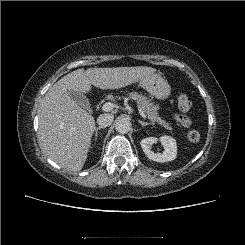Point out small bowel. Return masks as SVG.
<instances>
[{
	"instance_id": "small-bowel-1",
	"label": "small bowel",
	"mask_w": 245,
	"mask_h": 245,
	"mask_svg": "<svg viewBox=\"0 0 245 245\" xmlns=\"http://www.w3.org/2000/svg\"><path fill=\"white\" fill-rule=\"evenodd\" d=\"M176 120L179 124H181L183 127H190L192 124V120L189 117L183 116V115H177Z\"/></svg>"
}]
</instances>
